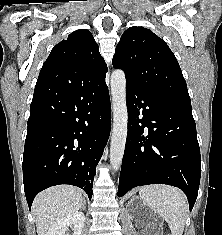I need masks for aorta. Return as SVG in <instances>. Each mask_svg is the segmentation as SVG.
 <instances>
[{
    "label": "aorta",
    "instance_id": "aorta-1",
    "mask_svg": "<svg viewBox=\"0 0 222 235\" xmlns=\"http://www.w3.org/2000/svg\"><path fill=\"white\" fill-rule=\"evenodd\" d=\"M113 130L110 144V164L114 170L121 166L127 138V104L125 73L117 69L111 74Z\"/></svg>",
    "mask_w": 222,
    "mask_h": 235
}]
</instances>
